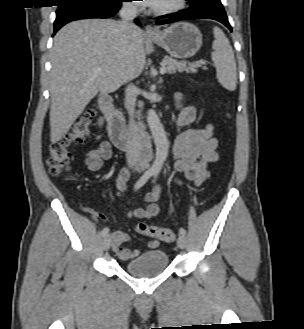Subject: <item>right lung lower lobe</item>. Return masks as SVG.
<instances>
[{
	"mask_svg": "<svg viewBox=\"0 0 304 329\" xmlns=\"http://www.w3.org/2000/svg\"><path fill=\"white\" fill-rule=\"evenodd\" d=\"M123 1L117 0L106 4L78 3L58 8L54 22V34L62 26L74 20L111 17L118 12ZM136 23L140 24L137 20Z\"/></svg>",
	"mask_w": 304,
	"mask_h": 329,
	"instance_id": "obj_1",
	"label": "right lung lower lobe"
}]
</instances>
